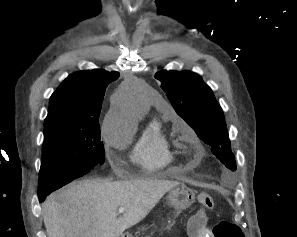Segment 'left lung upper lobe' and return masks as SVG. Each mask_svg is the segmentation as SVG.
I'll return each mask as SVG.
<instances>
[{
  "instance_id": "5c2ea615",
  "label": "left lung upper lobe",
  "mask_w": 297,
  "mask_h": 237,
  "mask_svg": "<svg viewBox=\"0 0 297 237\" xmlns=\"http://www.w3.org/2000/svg\"><path fill=\"white\" fill-rule=\"evenodd\" d=\"M176 112L211 146L212 153L231 170L236 169L234 154L223 111L210 87L191 71L161 70L155 74Z\"/></svg>"
}]
</instances>
